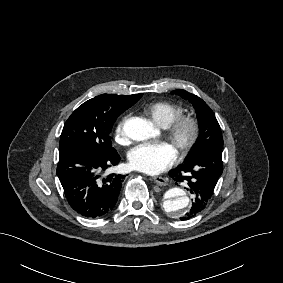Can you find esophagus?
Wrapping results in <instances>:
<instances>
[{
  "instance_id": "obj_1",
  "label": "esophagus",
  "mask_w": 283,
  "mask_h": 283,
  "mask_svg": "<svg viewBox=\"0 0 283 283\" xmlns=\"http://www.w3.org/2000/svg\"><path fill=\"white\" fill-rule=\"evenodd\" d=\"M153 180L160 186H166L168 184V179L161 176H154Z\"/></svg>"
}]
</instances>
